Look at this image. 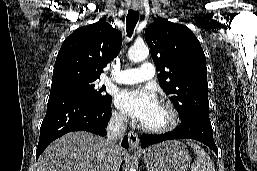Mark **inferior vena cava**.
Returning a JSON list of instances; mask_svg holds the SVG:
<instances>
[{
  "instance_id": "602c4592",
  "label": "inferior vena cava",
  "mask_w": 257,
  "mask_h": 171,
  "mask_svg": "<svg viewBox=\"0 0 257 171\" xmlns=\"http://www.w3.org/2000/svg\"><path fill=\"white\" fill-rule=\"evenodd\" d=\"M127 128V117L125 115H112L107 125V139H106V156L104 160L103 171H119V165L116 160V153L118 145L117 138L121 137Z\"/></svg>"
}]
</instances>
